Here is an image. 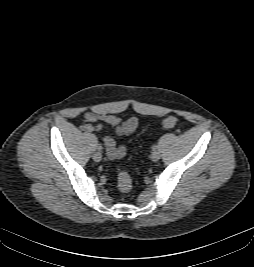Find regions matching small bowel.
Returning a JSON list of instances; mask_svg holds the SVG:
<instances>
[{"label":"small bowel","mask_w":254,"mask_h":267,"mask_svg":"<svg viewBox=\"0 0 254 267\" xmlns=\"http://www.w3.org/2000/svg\"><path fill=\"white\" fill-rule=\"evenodd\" d=\"M103 125H109L115 129L117 137L128 136L132 134L138 127V120L131 117L125 121L115 115L86 113L82 129L86 132L99 131ZM107 154L112 159L122 158L126 154V146H117L115 139L110 135H105L103 138Z\"/></svg>","instance_id":"1"}]
</instances>
